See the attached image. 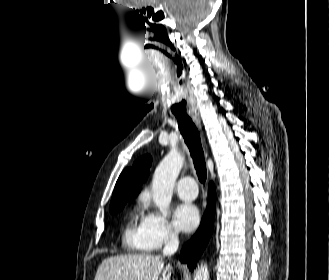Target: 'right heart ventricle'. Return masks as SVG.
Here are the masks:
<instances>
[{"instance_id":"right-heart-ventricle-1","label":"right heart ventricle","mask_w":329,"mask_h":280,"mask_svg":"<svg viewBox=\"0 0 329 280\" xmlns=\"http://www.w3.org/2000/svg\"><path fill=\"white\" fill-rule=\"evenodd\" d=\"M146 217L141 216L140 206L132 212L123 234V245L129 251L148 252L151 250L146 235Z\"/></svg>"}]
</instances>
